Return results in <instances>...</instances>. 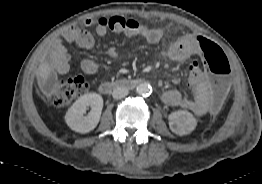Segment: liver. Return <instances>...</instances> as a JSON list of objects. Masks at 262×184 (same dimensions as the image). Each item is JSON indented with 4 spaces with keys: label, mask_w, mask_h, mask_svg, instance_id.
Here are the masks:
<instances>
[{
    "label": "liver",
    "mask_w": 262,
    "mask_h": 184,
    "mask_svg": "<svg viewBox=\"0 0 262 184\" xmlns=\"http://www.w3.org/2000/svg\"><path fill=\"white\" fill-rule=\"evenodd\" d=\"M52 75V67L47 62L40 64L37 71V82L40 89L44 92V88L47 85V81Z\"/></svg>",
    "instance_id": "6515ba94"
}]
</instances>
